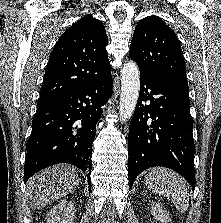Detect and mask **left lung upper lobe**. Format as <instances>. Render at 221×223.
Returning <instances> with one entry per match:
<instances>
[{
    "label": "left lung upper lobe",
    "instance_id": "5c2ea615",
    "mask_svg": "<svg viewBox=\"0 0 221 223\" xmlns=\"http://www.w3.org/2000/svg\"><path fill=\"white\" fill-rule=\"evenodd\" d=\"M129 56L138 64L141 75L188 92L179 40L161 18L152 15L140 20Z\"/></svg>",
    "mask_w": 221,
    "mask_h": 223
}]
</instances>
